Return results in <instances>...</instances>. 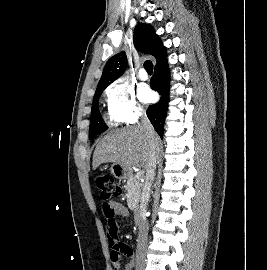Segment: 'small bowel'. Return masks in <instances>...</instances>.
<instances>
[{
  "label": "small bowel",
  "mask_w": 267,
  "mask_h": 270,
  "mask_svg": "<svg viewBox=\"0 0 267 270\" xmlns=\"http://www.w3.org/2000/svg\"><path fill=\"white\" fill-rule=\"evenodd\" d=\"M103 212L106 219V231L109 239L112 256L117 255L119 259L126 257L129 259L124 270H132L133 268V250L126 243H118V229L115 224V217L125 218L128 216L127 208L121 202H107L103 204Z\"/></svg>",
  "instance_id": "obj_1"
}]
</instances>
